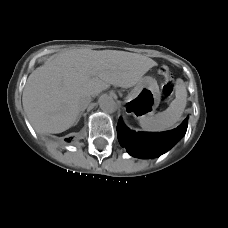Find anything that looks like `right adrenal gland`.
<instances>
[{"label": "right adrenal gland", "instance_id": "obj_1", "mask_svg": "<svg viewBox=\"0 0 228 228\" xmlns=\"http://www.w3.org/2000/svg\"><path fill=\"white\" fill-rule=\"evenodd\" d=\"M83 112H84V110H83V111H81V112H79V115H78V118H77V120H76V123H75V124H77V123H78V121L80 120V118H81V116H82Z\"/></svg>", "mask_w": 228, "mask_h": 228}]
</instances>
